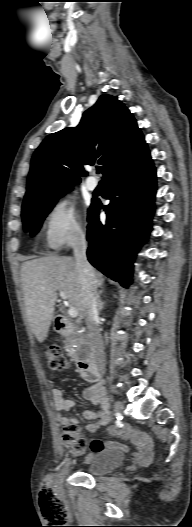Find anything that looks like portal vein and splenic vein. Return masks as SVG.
<instances>
[{
  "mask_svg": "<svg viewBox=\"0 0 192 527\" xmlns=\"http://www.w3.org/2000/svg\"><path fill=\"white\" fill-rule=\"evenodd\" d=\"M60 297L66 301L68 299L67 295L63 292V291H60ZM78 311L76 308L74 307H70L69 310H68V315L72 318H76L78 316Z\"/></svg>",
  "mask_w": 192,
  "mask_h": 527,
  "instance_id": "1",
  "label": "portal vein and splenic vein"
}]
</instances>
